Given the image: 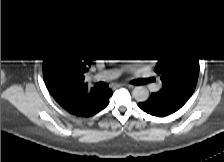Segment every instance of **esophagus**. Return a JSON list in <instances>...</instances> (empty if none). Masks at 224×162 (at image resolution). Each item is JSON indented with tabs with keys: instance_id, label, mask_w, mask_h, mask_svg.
<instances>
[{
	"instance_id": "esophagus-1",
	"label": "esophagus",
	"mask_w": 224,
	"mask_h": 162,
	"mask_svg": "<svg viewBox=\"0 0 224 162\" xmlns=\"http://www.w3.org/2000/svg\"><path fill=\"white\" fill-rule=\"evenodd\" d=\"M126 87H128V88H133V86L132 85H125Z\"/></svg>"
}]
</instances>
